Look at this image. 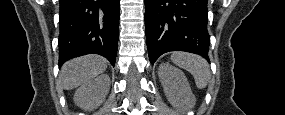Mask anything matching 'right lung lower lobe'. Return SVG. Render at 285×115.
Returning a JSON list of instances; mask_svg holds the SVG:
<instances>
[{"instance_id":"1","label":"right lung lower lobe","mask_w":285,"mask_h":115,"mask_svg":"<svg viewBox=\"0 0 285 115\" xmlns=\"http://www.w3.org/2000/svg\"><path fill=\"white\" fill-rule=\"evenodd\" d=\"M120 0H60L59 65L73 57L99 54L114 66Z\"/></svg>"}]
</instances>
